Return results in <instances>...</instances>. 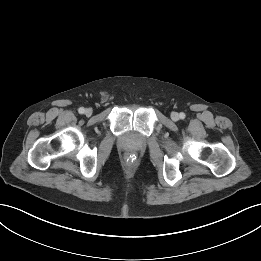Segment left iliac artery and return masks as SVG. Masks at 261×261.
Here are the masks:
<instances>
[{
    "instance_id": "obj_1",
    "label": "left iliac artery",
    "mask_w": 261,
    "mask_h": 261,
    "mask_svg": "<svg viewBox=\"0 0 261 261\" xmlns=\"http://www.w3.org/2000/svg\"><path fill=\"white\" fill-rule=\"evenodd\" d=\"M179 117H180V119H184V118H185V114H184L183 112H181V113L179 114Z\"/></svg>"
}]
</instances>
